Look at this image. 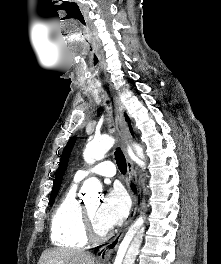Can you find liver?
<instances>
[{"label": "liver", "instance_id": "6515ba94", "mask_svg": "<svg viewBox=\"0 0 221 264\" xmlns=\"http://www.w3.org/2000/svg\"><path fill=\"white\" fill-rule=\"evenodd\" d=\"M94 256L87 251L54 248L45 250L38 264H94Z\"/></svg>", "mask_w": 221, "mask_h": 264}]
</instances>
